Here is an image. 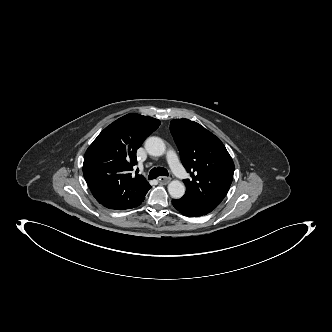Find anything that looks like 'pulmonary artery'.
<instances>
[{"instance_id": "e3ab8cb5", "label": "pulmonary artery", "mask_w": 332, "mask_h": 332, "mask_svg": "<svg viewBox=\"0 0 332 332\" xmlns=\"http://www.w3.org/2000/svg\"><path fill=\"white\" fill-rule=\"evenodd\" d=\"M167 161L172 169V171L180 178L184 179L187 176V173L181 163L178 160L177 155L173 150L167 152Z\"/></svg>"}]
</instances>
